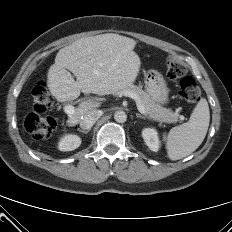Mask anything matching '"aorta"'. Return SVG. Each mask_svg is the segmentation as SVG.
I'll use <instances>...</instances> for the list:
<instances>
[{"label":"aorta","instance_id":"1","mask_svg":"<svg viewBox=\"0 0 232 232\" xmlns=\"http://www.w3.org/2000/svg\"><path fill=\"white\" fill-rule=\"evenodd\" d=\"M114 119L118 123H124L127 120V115L124 111H116L114 113Z\"/></svg>","mask_w":232,"mask_h":232}]
</instances>
